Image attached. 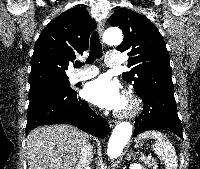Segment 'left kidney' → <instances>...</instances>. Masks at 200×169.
Masks as SVG:
<instances>
[{
    "mask_svg": "<svg viewBox=\"0 0 200 169\" xmlns=\"http://www.w3.org/2000/svg\"><path fill=\"white\" fill-rule=\"evenodd\" d=\"M129 169H145L140 164L133 163L130 165Z\"/></svg>",
    "mask_w": 200,
    "mask_h": 169,
    "instance_id": "5707ae66",
    "label": "left kidney"
}]
</instances>
